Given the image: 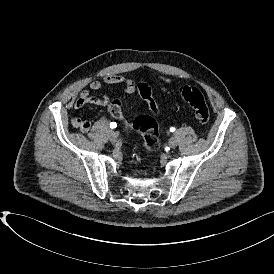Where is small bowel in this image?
I'll list each match as a JSON object with an SVG mask.
<instances>
[{
	"mask_svg": "<svg viewBox=\"0 0 274 274\" xmlns=\"http://www.w3.org/2000/svg\"><path fill=\"white\" fill-rule=\"evenodd\" d=\"M171 82V79L165 76L160 77L158 81L159 86L163 92L167 91V87L171 84ZM104 84L111 86L124 84L122 91L128 94L134 92L136 88V84L132 80H129L119 74H108L104 76L101 81L91 80L88 84V89L82 90L74 101V108L79 110L87 104L107 106L110 102L109 97L100 93V90ZM71 124L73 127L79 129L83 133H87L91 129L90 121L84 120L77 116L71 119Z\"/></svg>",
	"mask_w": 274,
	"mask_h": 274,
	"instance_id": "obj_1",
	"label": "small bowel"
}]
</instances>
